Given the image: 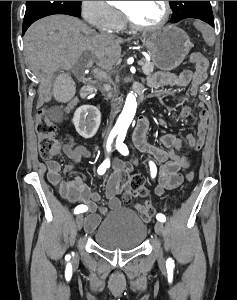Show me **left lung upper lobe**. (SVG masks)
<instances>
[{"instance_id": "5c2ea615", "label": "left lung upper lobe", "mask_w": 237, "mask_h": 300, "mask_svg": "<svg viewBox=\"0 0 237 300\" xmlns=\"http://www.w3.org/2000/svg\"><path fill=\"white\" fill-rule=\"evenodd\" d=\"M173 10L172 23L186 18H195L207 22L214 19L210 1H170Z\"/></svg>"}]
</instances>
